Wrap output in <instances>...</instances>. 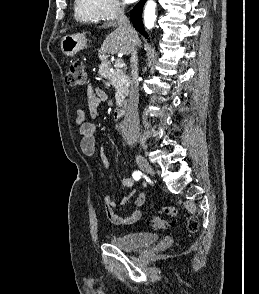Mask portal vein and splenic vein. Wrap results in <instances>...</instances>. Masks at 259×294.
I'll return each instance as SVG.
<instances>
[{
    "mask_svg": "<svg viewBox=\"0 0 259 294\" xmlns=\"http://www.w3.org/2000/svg\"><path fill=\"white\" fill-rule=\"evenodd\" d=\"M115 66H116L117 68H122V67L124 66V62H123L122 60H117V61L115 62Z\"/></svg>",
    "mask_w": 259,
    "mask_h": 294,
    "instance_id": "obj_1",
    "label": "portal vein and splenic vein"
}]
</instances>
